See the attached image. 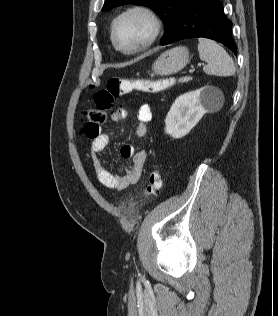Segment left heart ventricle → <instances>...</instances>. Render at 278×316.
<instances>
[{
	"label": "left heart ventricle",
	"mask_w": 278,
	"mask_h": 316,
	"mask_svg": "<svg viewBox=\"0 0 278 316\" xmlns=\"http://www.w3.org/2000/svg\"><path fill=\"white\" fill-rule=\"evenodd\" d=\"M150 26L147 20L134 15L121 20L116 27V40L118 44L130 49L141 43L149 34Z\"/></svg>",
	"instance_id": "b2bd125f"
}]
</instances>
